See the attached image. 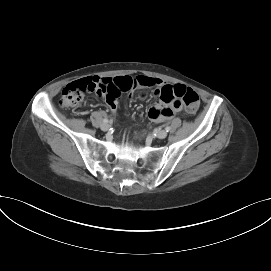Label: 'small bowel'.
Listing matches in <instances>:
<instances>
[{"instance_id":"c3829d8e","label":"small bowel","mask_w":271,"mask_h":271,"mask_svg":"<svg viewBox=\"0 0 271 271\" xmlns=\"http://www.w3.org/2000/svg\"><path fill=\"white\" fill-rule=\"evenodd\" d=\"M98 81L97 90L102 94L103 100L108 104L109 109L115 112L117 105L121 104L124 97L128 96L134 88L154 87L155 95L160 99L159 102L151 105L147 111L148 117L155 122H161L174 117V115L182 110V104L173 100L166 102L161 97L162 88L172 86L164 83L158 78L148 76L134 77L132 80L128 77L116 78H88Z\"/></svg>"}]
</instances>
